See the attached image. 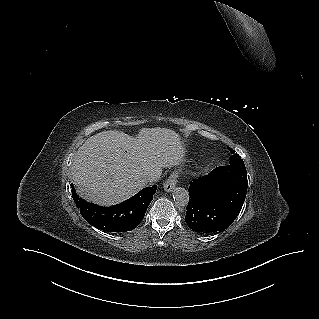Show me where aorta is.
Returning a JSON list of instances; mask_svg holds the SVG:
<instances>
[{"instance_id": "762f6f07", "label": "aorta", "mask_w": 319, "mask_h": 319, "mask_svg": "<svg viewBox=\"0 0 319 319\" xmlns=\"http://www.w3.org/2000/svg\"><path fill=\"white\" fill-rule=\"evenodd\" d=\"M173 198L176 204L180 206H184L188 204L189 201V193L185 188L177 187L173 191Z\"/></svg>"}]
</instances>
